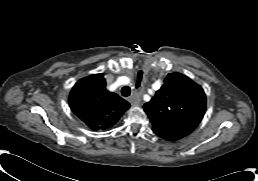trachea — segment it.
Wrapping results in <instances>:
<instances>
[{"instance_id": "obj_1", "label": "trachea", "mask_w": 258, "mask_h": 181, "mask_svg": "<svg viewBox=\"0 0 258 181\" xmlns=\"http://www.w3.org/2000/svg\"><path fill=\"white\" fill-rule=\"evenodd\" d=\"M139 85V84H138ZM121 93L123 96L127 97L131 94V89L130 87L128 86H124L122 89H121Z\"/></svg>"}]
</instances>
